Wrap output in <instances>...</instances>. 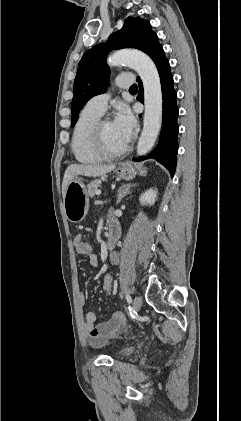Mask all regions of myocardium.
<instances>
[{
  "label": "myocardium",
  "mask_w": 241,
  "mask_h": 421,
  "mask_svg": "<svg viewBox=\"0 0 241 421\" xmlns=\"http://www.w3.org/2000/svg\"><path fill=\"white\" fill-rule=\"evenodd\" d=\"M109 121L107 119L99 120L93 130L92 142L95 151L103 158V159H114L123 156L126 154L129 149L130 145L126 144V146L118 151H111L109 150L104 142V133L103 128L104 124Z\"/></svg>",
  "instance_id": "obj_1"
}]
</instances>
